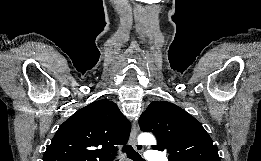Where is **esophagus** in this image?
<instances>
[{"label":"esophagus","mask_w":261,"mask_h":161,"mask_svg":"<svg viewBox=\"0 0 261 161\" xmlns=\"http://www.w3.org/2000/svg\"><path fill=\"white\" fill-rule=\"evenodd\" d=\"M137 135H138V126H137L136 122H133L131 133H130V142L136 150H138L139 152H142L143 146H141L137 143Z\"/></svg>","instance_id":"1"}]
</instances>
